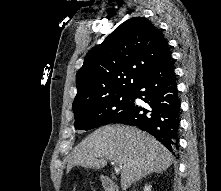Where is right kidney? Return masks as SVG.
<instances>
[{
  "label": "right kidney",
  "instance_id": "obj_1",
  "mask_svg": "<svg viewBox=\"0 0 221 191\" xmlns=\"http://www.w3.org/2000/svg\"><path fill=\"white\" fill-rule=\"evenodd\" d=\"M151 185L150 184H146L145 186H144V189H143V191H151Z\"/></svg>",
  "mask_w": 221,
  "mask_h": 191
}]
</instances>
